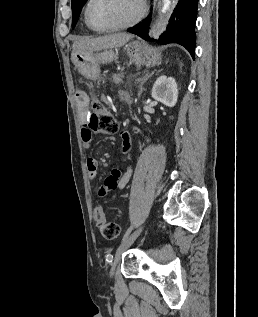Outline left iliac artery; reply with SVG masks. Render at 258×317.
I'll use <instances>...</instances> for the list:
<instances>
[{
  "instance_id": "left-iliac-artery-1",
  "label": "left iliac artery",
  "mask_w": 258,
  "mask_h": 317,
  "mask_svg": "<svg viewBox=\"0 0 258 317\" xmlns=\"http://www.w3.org/2000/svg\"><path fill=\"white\" fill-rule=\"evenodd\" d=\"M132 229H133L132 226L127 229V231L123 235V238H122L121 242L125 241V239L130 235Z\"/></svg>"
}]
</instances>
